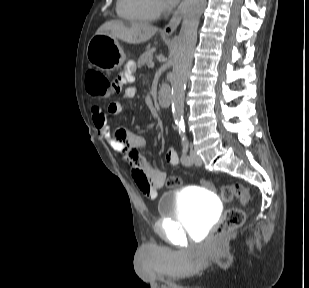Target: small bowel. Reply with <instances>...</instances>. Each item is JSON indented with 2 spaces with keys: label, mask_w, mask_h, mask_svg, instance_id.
<instances>
[{
  "label": "small bowel",
  "mask_w": 309,
  "mask_h": 288,
  "mask_svg": "<svg viewBox=\"0 0 309 288\" xmlns=\"http://www.w3.org/2000/svg\"><path fill=\"white\" fill-rule=\"evenodd\" d=\"M129 78L122 74L115 82H119L123 87ZM135 95V89L128 87L125 89L124 97L132 98ZM125 112L120 102H111L108 106V113L104 112L99 106L91 109L94 125L99 135L105 139L109 145L122 155L124 162L129 166L132 178L139 189L149 198H155L158 191L164 186L165 173L153 166L139 152V149L145 145L142 136L125 130H111L109 125V115H119ZM130 115V112H126ZM165 160L169 165L175 166L179 163L176 150L173 147L165 151Z\"/></svg>",
  "instance_id": "obj_1"
}]
</instances>
